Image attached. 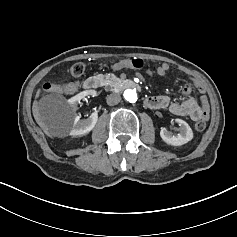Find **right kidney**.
Instances as JSON below:
<instances>
[{
	"instance_id": "right-kidney-1",
	"label": "right kidney",
	"mask_w": 237,
	"mask_h": 237,
	"mask_svg": "<svg viewBox=\"0 0 237 237\" xmlns=\"http://www.w3.org/2000/svg\"><path fill=\"white\" fill-rule=\"evenodd\" d=\"M86 96H97L95 90H85L77 95L73 96L68 100L69 104L74 110L77 109L78 103ZM98 120L97 112H93L87 119H81L80 116L76 115L73 122V128L70 131L71 136H80L89 133L96 125Z\"/></svg>"
}]
</instances>
